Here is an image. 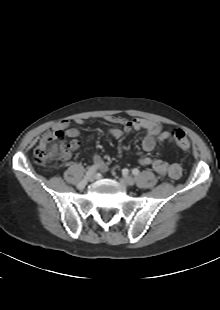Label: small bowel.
Segmentation results:
<instances>
[{"mask_svg": "<svg viewBox=\"0 0 220 310\" xmlns=\"http://www.w3.org/2000/svg\"><path fill=\"white\" fill-rule=\"evenodd\" d=\"M104 119L108 122L121 126L112 127L110 129V133L115 139L121 138L127 132L142 130L144 132V136L141 145L142 149L146 152L154 150L159 143L173 141L171 132L168 129H165L162 124L152 120L143 118L127 119L120 116H106ZM75 122L82 125L84 120L78 118ZM55 129L62 130L64 132V136L71 139L68 144V154L65 156L68 158L69 155L76 151L79 147V141L77 138L80 135V131L75 127H71L68 120L58 122L55 125ZM93 160L95 165L100 170H107V166L99 154H95ZM139 163L142 166H151L157 174L161 176H168L174 180L179 179L182 174L181 166L178 163L166 162L159 158L144 156L139 159Z\"/></svg>", "mask_w": 220, "mask_h": 310, "instance_id": "1", "label": "small bowel"}]
</instances>
